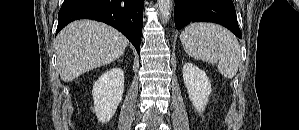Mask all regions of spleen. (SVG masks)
<instances>
[{
    "label": "spleen",
    "mask_w": 299,
    "mask_h": 130,
    "mask_svg": "<svg viewBox=\"0 0 299 130\" xmlns=\"http://www.w3.org/2000/svg\"><path fill=\"white\" fill-rule=\"evenodd\" d=\"M186 53L194 59L217 64L218 71L232 79L241 62V49L236 37L217 24L195 22L180 34Z\"/></svg>",
    "instance_id": "obj_1"
}]
</instances>
